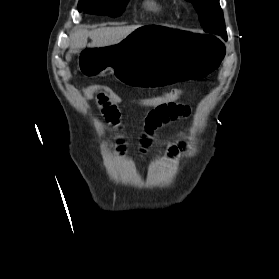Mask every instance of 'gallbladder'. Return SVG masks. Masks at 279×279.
Here are the masks:
<instances>
[{
	"instance_id": "obj_1",
	"label": "gallbladder",
	"mask_w": 279,
	"mask_h": 279,
	"mask_svg": "<svg viewBox=\"0 0 279 279\" xmlns=\"http://www.w3.org/2000/svg\"><path fill=\"white\" fill-rule=\"evenodd\" d=\"M67 60H70V55H67Z\"/></svg>"
}]
</instances>
